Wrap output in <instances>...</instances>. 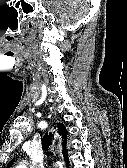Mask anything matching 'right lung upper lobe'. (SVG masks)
I'll list each match as a JSON object with an SVG mask.
<instances>
[{"label": "right lung upper lobe", "mask_w": 127, "mask_h": 168, "mask_svg": "<svg viewBox=\"0 0 127 168\" xmlns=\"http://www.w3.org/2000/svg\"><path fill=\"white\" fill-rule=\"evenodd\" d=\"M57 127H58V132H59V135L62 136L63 140H62V146H63V149H62V153H63V157H64V160L66 162V165L69 166V160H68V152H67V149H66V143H67V130L65 128V126L63 124H57ZM52 137H53V134L52 133H46L43 137V140H42V144H43V148L45 150H48V147L49 145L51 144V141H52ZM13 162H10L8 167L12 164Z\"/></svg>", "instance_id": "1"}]
</instances>
